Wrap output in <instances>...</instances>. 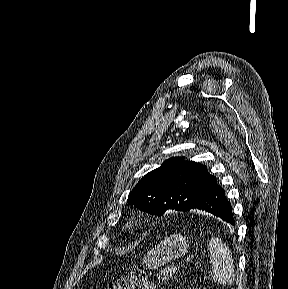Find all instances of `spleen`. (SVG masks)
I'll return each mask as SVG.
<instances>
[{"label":"spleen","instance_id":"3e777b00","mask_svg":"<svg viewBox=\"0 0 288 289\" xmlns=\"http://www.w3.org/2000/svg\"><path fill=\"white\" fill-rule=\"evenodd\" d=\"M209 251L214 281L223 285L232 284L235 270L229 247L221 239L211 238Z\"/></svg>","mask_w":288,"mask_h":289}]
</instances>
